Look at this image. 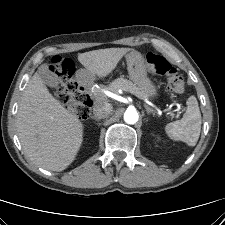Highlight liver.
I'll list each match as a JSON object with an SVG mask.
<instances>
[{
	"label": "liver",
	"instance_id": "1",
	"mask_svg": "<svg viewBox=\"0 0 225 225\" xmlns=\"http://www.w3.org/2000/svg\"><path fill=\"white\" fill-rule=\"evenodd\" d=\"M130 48H107L78 55L91 75L105 77ZM16 126L22 148L37 166L63 171L75 159L82 141L83 124L47 89L38 73L27 84L17 113Z\"/></svg>",
	"mask_w": 225,
	"mask_h": 225
}]
</instances>
